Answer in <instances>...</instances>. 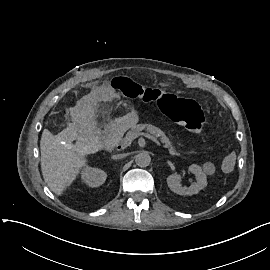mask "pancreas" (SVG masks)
Returning <instances> with one entry per match:
<instances>
[{"label":"pancreas","instance_id":"obj_1","mask_svg":"<svg viewBox=\"0 0 270 270\" xmlns=\"http://www.w3.org/2000/svg\"><path fill=\"white\" fill-rule=\"evenodd\" d=\"M146 129L147 132L150 134L155 135L156 137H160V141L163 145L164 148H168L169 153L171 155H177L179 156L180 153H178L175 148L172 146L169 138L165 135V133L160 130L159 128L151 125V124H137L133 125L131 128V132L136 133L137 135H140V132L142 130Z\"/></svg>","mask_w":270,"mask_h":270}]
</instances>
